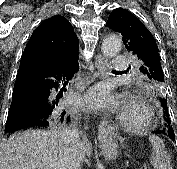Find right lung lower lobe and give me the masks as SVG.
Listing matches in <instances>:
<instances>
[{"mask_svg":"<svg viewBox=\"0 0 177 169\" xmlns=\"http://www.w3.org/2000/svg\"><path fill=\"white\" fill-rule=\"evenodd\" d=\"M78 70V64L70 68L20 65L5 131L69 121L62 93L56 91L61 84L66 86Z\"/></svg>","mask_w":177,"mask_h":169,"instance_id":"1","label":"right lung lower lobe"}]
</instances>
